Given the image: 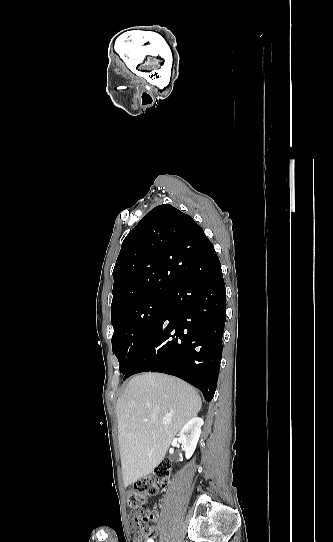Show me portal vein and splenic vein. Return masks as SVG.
<instances>
[{"instance_id": "18ae733b", "label": "portal vein and splenic vein", "mask_w": 333, "mask_h": 542, "mask_svg": "<svg viewBox=\"0 0 333 542\" xmlns=\"http://www.w3.org/2000/svg\"><path fill=\"white\" fill-rule=\"evenodd\" d=\"M164 426H167V424H170V422H163Z\"/></svg>"}]
</instances>
